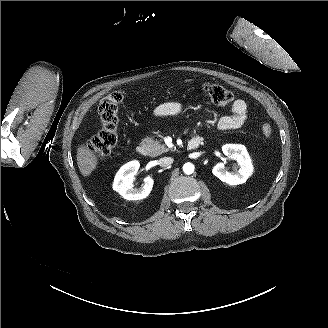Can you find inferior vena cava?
Segmentation results:
<instances>
[{"instance_id":"inferior-vena-cava-1","label":"inferior vena cava","mask_w":328,"mask_h":328,"mask_svg":"<svg viewBox=\"0 0 328 328\" xmlns=\"http://www.w3.org/2000/svg\"><path fill=\"white\" fill-rule=\"evenodd\" d=\"M174 159L172 157H163L159 160V165L161 167H168L173 163Z\"/></svg>"}]
</instances>
